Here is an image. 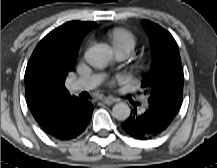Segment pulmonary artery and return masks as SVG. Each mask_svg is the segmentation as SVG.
Here are the masks:
<instances>
[{"label": "pulmonary artery", "instance_id": "e3ab8cb5", "mask_svg": "<svg viewBox=\"0 0 217 168\" xmlns=\"http://www.w3.org/2000/svg\"><path fill=\"white\" fill-rule=\"evenodd\" d=\"M128 54L120 48L114 49V57L117 61H123L127 58ZM104 79V74L96 73L83 78L78 79L74 83L75 88L90 89L99 85Z\"/></svg>", "mask_w": 217, "mask_h": 168}]
</instances>
